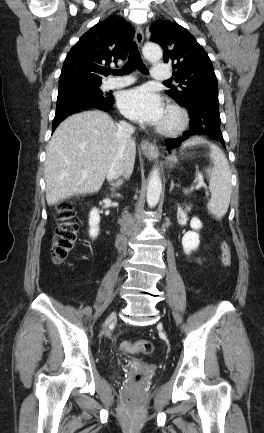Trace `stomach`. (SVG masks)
I'll use <instances>...</instances> for the list:
<instances>
[{"label":"stomach","instance_id":"obj_1","mask_svg":"<svg viewBox=\"0 0 264 433\" xmlns=\"http://www.w3.org/2000/svg\"><path fill=\"white\" fill-rule=\"evenodd\" d=\"M177 162V157L175 155L169 156L167 158V164L173 166Z\"/></svg>","mask_w":264,"mask_h":433}]
</instances>
